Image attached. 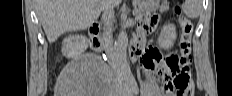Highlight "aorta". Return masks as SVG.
I'll return each mask as SVG.
<instances>
[{
  "label": "aorta",
  "instance_id": "1",
  "mask_svg": "<svg viewBox=\"0 0 232 96\" xmlns=\"http://www.w3.org/2000/svg\"><path fill=\"white\" fill-rule=\"evenodd\" d=\"M128 35L125 30H121L114 46V60L120 72L124 76L131 74L127 61Z\"/></svg>",
  "mask_w": 232,
  "mask_h": 96
}]
</instances>
